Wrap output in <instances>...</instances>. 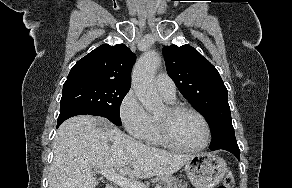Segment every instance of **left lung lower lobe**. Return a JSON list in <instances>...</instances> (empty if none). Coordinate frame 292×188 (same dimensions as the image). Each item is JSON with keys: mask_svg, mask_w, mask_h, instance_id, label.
<instances>
[{"mask_svg": "<svg viewBox=\"0 0 292 188\" xmlns=\"http://www.w3.org/2000/svg\"><path fill=\"white\" fill-rule=\"evenodd\" d=\"M220 149L231 152L232 154H234L237 157L238 160H240V150H239L237 143L223 146Z\"/></svg>", "mask_w": 292, "mask_h": 188, "instance_id": "obj_1", "label": "left lung lower lobe"}]
</instances>
